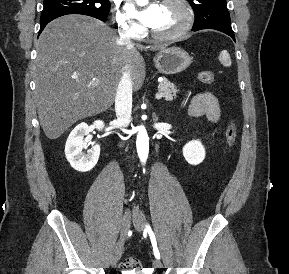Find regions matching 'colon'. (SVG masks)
<instances>
[{
  "label": "colon",
  "mask_w": 289,
  "mask_h": 274,
  "mask_svg": "<svg viewBox=\"0 0 289 274\" xmlns=\"http://www.w3.org/2000/svg\"><path fill=\"white\" fill-rule=\"evenodd\" d=\"M199 79L206 85H213L215 83L214 73L210 70H203L199 73ZM227 144L232 147L236 142L237 129L233 121H231L226 129L225 133ZM121 269L123 271H140L146 273V270L142 268L140 261L135 257H127L121 263Z\"/></svg>",
  "instance_id": "obj_1"
}]
</instances>
